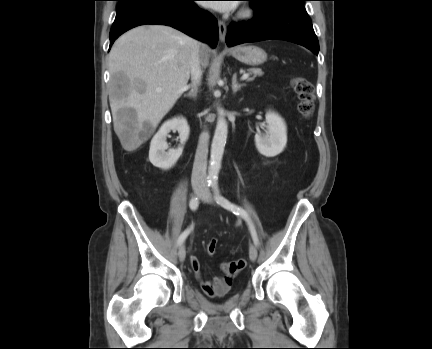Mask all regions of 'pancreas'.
<instances>
[{"label":"pancreas","instance_id":"1","mask_svg":"<svg viewBox=\"0 0 432 349\" xmlns=\"http://www.w3.org/2000/svg\"><path fill=\"white\" fill-rule=\"evenodd\" d=\"M248 71L250 73L254 74V76L252 78L248 79L249 81H252L256 76H261L263 74L262 70L261 69H257V68H251V69H248Z\"/></svg>","mask_w":432,"mask_h":349}]
</instances>
